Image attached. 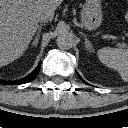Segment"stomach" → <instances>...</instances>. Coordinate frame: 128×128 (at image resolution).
I'll list each match as a JSON object with an SVG mask.
<instances>
[{
    "label": "stomach",
    "mask_w": 128,
    "mask_h": 128,
    "mask_svg": "<svg viewBox=\"0 0 128 128\" xmlns=\"http://www.w3.org/2000/svg\"><path fill=\"white\" fill-rule=\"evenodd\" d=\"M81 21L88 30L97 29L102 23L101 0H86L81 10Z\"/></svg>",
    "instance_id": "stomach-1"
}]
</instances>
